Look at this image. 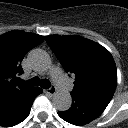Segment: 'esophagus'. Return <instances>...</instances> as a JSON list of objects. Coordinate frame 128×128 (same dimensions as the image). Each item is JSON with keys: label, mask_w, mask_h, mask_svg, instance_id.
Listing matches in <instances>:
<instances>
[{"label": "esophagus", "mask_w": 128, "mask_h": 128, "mask_svg": "<svg viewBox=\"0 0 128 128\" xmlns=\"http://www.w3.org/2000/svg\"><path fill=\"white\" fill-rule=\"evenodd\" d=\"M46 93L51 96L54 95L56 93V87L55 86L50 87L49 89L46 90Z\"/></svg>", "instance_id": "1"}]
</instances>
